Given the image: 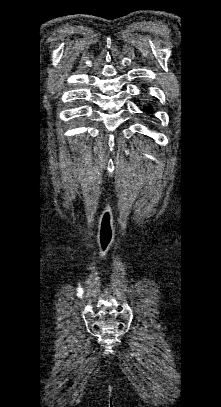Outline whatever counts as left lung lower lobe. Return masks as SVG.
<instances>
[{"label":"left lung lower lobe","mask_w":221,"mask_h":407,"mask_svg":"<svg viewBox=\"0 0 221 407\" xmlns=\"http://www.w3.org/2000/svg\"><path fill=\"white\" fill-rule=\"evenodd\" d=\"M145 92V91H143ZM147 93V92H145ZM142 110L149 116V117H153V112L154 109L152 107V105L150 103H146L144 105H142Z\"/></svg>","instance_id":"left-lung-lower-lobe-1"}]
</instances>
